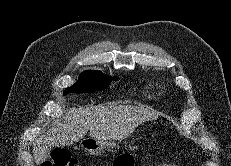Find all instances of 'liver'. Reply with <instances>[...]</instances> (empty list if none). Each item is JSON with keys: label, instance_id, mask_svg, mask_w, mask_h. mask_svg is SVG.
<instances>
[{"label": "liver", "instance_id": "1", "mask_svg": "<svg viewBox=\"0 0 231 166\" xmlns=\"http://www.w3.org/2000/svg\"><path fill=\"white\" fill-rule=\"evenodd\" d=\"M158 118L152 108L132 105H99L71 108L62 121L46 134L41 135L33 146L34 161L40 165L47 160L52 147H60L81 140L87 132L97 141L122 140L132 134L145 121Z\"/></svg>", "mask_w": 231, "mask_h": 166}]
</instances>
